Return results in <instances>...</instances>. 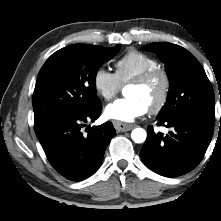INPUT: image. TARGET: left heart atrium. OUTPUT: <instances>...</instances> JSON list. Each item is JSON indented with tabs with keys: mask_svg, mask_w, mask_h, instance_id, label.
<instances>
[{
	"mask_svg": "<svg viewBox=\"0 0 221 221\" xmlns=\"http://www.w3.org/2000/svg\"><path fill=\"white\" fill-rule=\"evenodd\" d=\"M148 110L147 105L138 98L128 97L117 99L107 105L105 115L115 121L132 122L143 116Z\"/></svg>",
	"mask_w": 221,
	"mask_h": 221,
	"instance_id": "39dd6f15",
	"label": "left heart atrium"
}]
</instances>
